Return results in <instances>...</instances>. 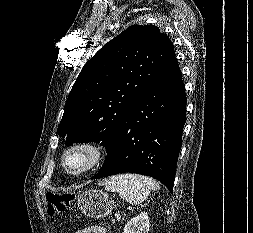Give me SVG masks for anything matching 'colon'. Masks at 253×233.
Wrapping results in <instances>:
<instances>
[{"mask_svg": "<svg viewBox=\"0 0 253 233\" xmlns=\"http://www.w3.org/2000/svg\"><path fill=\"white\" fill-rule=\"evenodd\" d=\"M75 196L72 193L49 192L47 194V212L50 216L62 215L72 204Z\"/></svg>", "mask_w": 253, "mask_h": 233, "instance_id": "obj_1", "label": "colon"}]
</instances>
